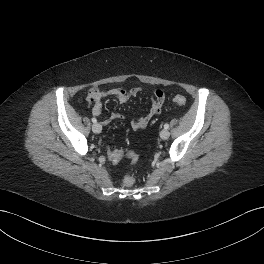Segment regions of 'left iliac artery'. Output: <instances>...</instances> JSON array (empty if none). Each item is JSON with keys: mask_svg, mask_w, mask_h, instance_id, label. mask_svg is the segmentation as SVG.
Returning <instances> with one entry per match:
<instances>
[{"mask_svg": "<svg viewBox=\"0 0 264 264\" xmlns=\"http://www.w3.org/2000/svg\"><path fill=\"white\" fill-rule=\"evenodd\" d=\"M164 128H165V129H168V128H169V124L166 123V124L164 125Z\"/></svg>", "mask_w": 264, "mask_h": 264, "instance_id": "44dca946", "label": "left iliac artery"}]
</instances>
